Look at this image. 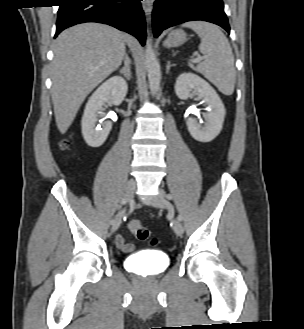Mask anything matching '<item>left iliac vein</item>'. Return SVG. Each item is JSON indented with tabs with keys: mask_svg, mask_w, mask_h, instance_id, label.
Segmentation results:
<instances>
[{
	"mask_svg": "<svg viewBox=\"0 0 304 329\" xmlns=\"http://www.w3.org/2000/svg\"><path fill=\"white\" fill-rule=\"evenodd\" d=\"M166 204L165 192L163 190H159L157 197L152 200V205L156 208H165ZM174 231L178 236H181L184 232L183 225L179 220L174 221Z\"/></svg>",
	"mask_w": 304,
	"mask_h": 329,
	"instance_id": "1",
	"label": "left iliac vein"
}]
</instances>
